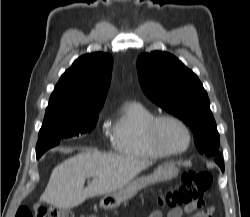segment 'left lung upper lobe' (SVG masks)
<instances>
[{"label": "left lung upper lobe", "mask_w": 250, "mask_h": 217, "mask_svg": "<svg viewBox=\"0 0 250 217\" xmlns=\"http://www.w3.org/2000/svg\"><path fill=\"white\" fill-rule=\"evenodd\" d=\"M139 82L146 96L183 120L194 133L200 153L219 157L220 138L208 95L198 77L172 54L144 53L137 59Z\"/></svg>", "instance_id": "5c2ea615"}]
</instances>
